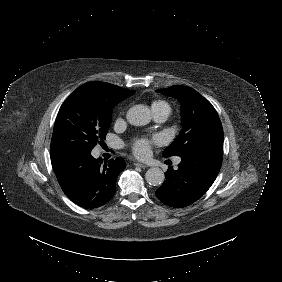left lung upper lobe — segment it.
I'll return each mask as SVG.
<instances>
[{
	"label": "left lung upper lobe",
	"mask_w": 282,
	"mask_h": 282,
	"mask_svg": "<svg viewBox=\"0 0 282 282\" xmlns=\"http://www.w3.org/2000/svg\"><path fill=\"white\" fill-rule=\"evenodd\" d=\"M176 98L181 104L183 128L163 153L164 157L181 156L200 146H223V128L212 104L186 86L157 90Z\"/></svg>",
	"instance_id": "obj_1"
}]
</instances>
